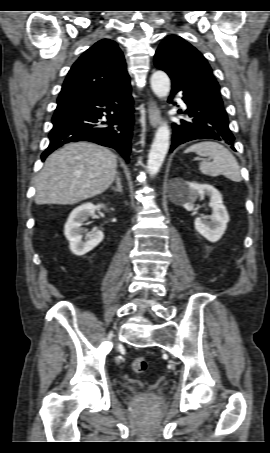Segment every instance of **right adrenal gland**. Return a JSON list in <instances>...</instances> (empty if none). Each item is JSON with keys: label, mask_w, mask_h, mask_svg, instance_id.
I'll use <instances>...</instances> for the list:
<instances>
[{"label": "right adrenal gland", "mask_w": 270, "mask_h": 453, "mask_svg": "<svg viewBox=\"0 0 270 453\" xmlns=\"http://www.w3.org/2000/svg\"><path fill=\"white\" fill-rule=\"evenodd\" d=\"M115 180H116V186H112L111 189L115 192L121 193L122 192V183H121L120 174L118 172H116Z\"/></svg>", "instance_id": "1"}]
</instances>
